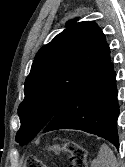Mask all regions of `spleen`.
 <instances>
[{"label":"spleen","instance_id":"spleen-1","mask_svg":"<svg viewBox=\"0 0 125 167\" xmlns=\"http://www.w3.org/2000/svg\"><path fill=\"white\" fill-rule=\"evenodd\" d=\"M91 167H118L116 157L108 145H101L99 154L92 161Z\"/></svg>","mask_w":125,"mask_h":167}]
</instances>
